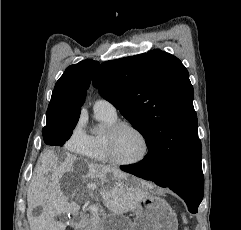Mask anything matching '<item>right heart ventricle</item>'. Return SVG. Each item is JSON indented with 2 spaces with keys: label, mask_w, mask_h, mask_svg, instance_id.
<instances>
[{
  "label": "right heart ventricle",
  "mask_w": 241,
  "mask_h": 230,
  "mask_svg": "<svg viewBox=\"0 0 241 230\" xmlns=\"http://www.w3.org/2000/svg\"><path fill=\"white\" fill-rule=\"evenodd\" d=\"M98 120L106 129L117 121V116L112 117L107 114L96 113ZM105 132L89 135V142L83 155L89 160L96 162H109V158L105 149Z\"/></svg>",
  "instance_id": "right-heart-ventricle-1"
}]
</instances>
